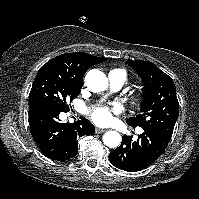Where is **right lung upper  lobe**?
<instances>
[{"mask_svg":"<svg viewBox=\"0 0 199 199\" xmlns=\"http://www.w3.org/2000/svg\"><path fill=\"white\" fill-rule=\"evenodd\" d=\"M106 60L107 58L96 57L83 52L66 53L49 60L40 68L38 74H55L83 84L82 80L86 71L91 66Z\"/></svg>","mask_w":199,"mask_h":199,"instance_id":"right-lung-upper-lobe-1","label":"right lung upper lobe"}]
</instances>
